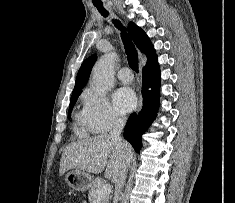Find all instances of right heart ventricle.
<instances>
[{
	"mask_svg": "<svg viewBox=\"0 0 235 203\" xmlns=\"http://www.w3.org/2000/svg\"><path fill=\"white\" fill-rule=\"evenodd\" d=\"M76 129L78 133L82 135H86L89 132H93L84 111L76 115Z\"/></svg>",
	"mask_w": 235,
	"mask_h": 203,
	"instance_id": "1",
	"label": "right heart ventricle"
}]
</instances>
